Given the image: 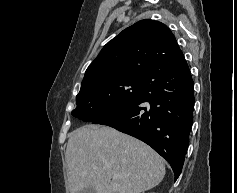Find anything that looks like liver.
I'll list each match as a JSON object with an SVG mask.
<instances>
[{"instance_id":"liver-1","label":"liver","mask_w":237,"mask_h":193,"mask_svg":"<svg viewBox=\"0 0 237 193\" xmlns=\"http://www.w3.org/2000/svg\"><path fill=\"white\" fill-rule=\"evenodd\" d=\"M65 158L70 193L90 186L96 193H141L165 176L164 162L152 148L108 126L73 131Z\"/></svg>"}]
</instances>
